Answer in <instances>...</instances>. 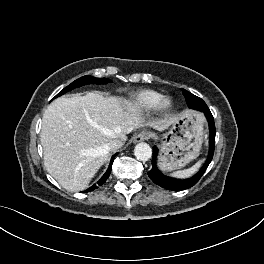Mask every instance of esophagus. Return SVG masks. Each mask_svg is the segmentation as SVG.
<instances>
[{"instance_id": "esophagus-1", "label": "esophagus", "mask_w": 264, "mask_h": 264, "mask_svg": "<svg viewBox=\"0 0 264 264\" xmlns=\"http://www.w3.org/2000/svg\"><path fill=\"white\" fill-rule=\"evenodd\" d=\"M149 138H150V133L142 131V132H139V133L134 135L133 142L134 143H139V142L145 141V140H147Z\"/></svg>"}]
</instances>
